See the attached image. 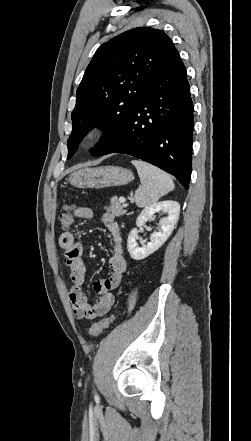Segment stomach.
<instances>
[{
	"mask_svg": "<svg viewBox=\"0 0 251 441\" xmlns=\"http://www.w3.org/2000/svg\"><path fill=\"white\" fill-rule=\"evenodd\" d=\"M133 173L123 167L100 166L85 167L74 171L69 176L72 186L81 189L95 188L101 189L111 186L126 185L133 179Z\"/></svg>",
	"mask_w": 251,
	"mask_h": 441,
	"instance_id": "1",
	"label": "stomach"
}]
</instances>
